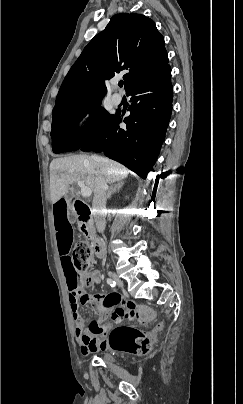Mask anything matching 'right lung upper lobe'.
Segmentation results:
<instances>
[{
	"label": "right lung upper lobe",
	"instance_id": "right-lung-upper-lobe-1",
	"mask_svg": "<svg viewBox=\"0 0 243 404\" xmlns=\"http://www.w3.org/2000/svg\"><path fill=\"white\" fill-rule=\"evenodd\" d=\"M168 65L164 38L155 23L141 14L114 15L106 28L84 48L66 75L52 116L102 98L105 82L127 72L126 92Z\"/></svg>",
	"mask_w": 243,
	"mask_h": 404
}]
</instances>
